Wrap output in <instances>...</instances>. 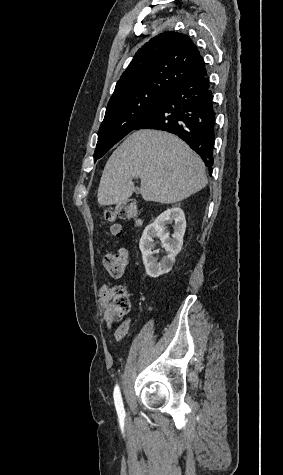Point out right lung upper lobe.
I'll use <instances>...</instances> for the list:
<instances>
[{"mask_svg":"<svg viewBox=\"0 0 283 475\" xmlns=\"http://www.w3.org/2000/svg\"><path fill=\"white\" fill-rule=\"evenodd\" d=\"M207 75L197 46L182 33L165 32L145 43L122 73L108 104L154 91H171Z\"/></svg>","mask_w":283,"mask_h":475,"instance_id":"obj_1","label":"right lung upper lobe"}]
</instances>
